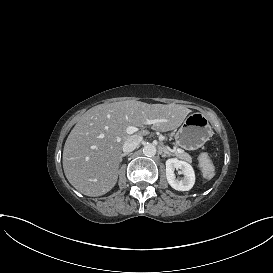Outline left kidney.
I'll return each instance as SVG.
<instances>
[{
	"mask_svg": "<svg viewBox=\"0 0 273 273\" xmlns=\"http://www.w3.org/2000/svg\"><path fill=\"white\" fill-rule=\"evenodd\" d=\"M177 169L184 175L183 179H177L174 170ZM166 177L170 186L178 191H189L196 182V174L193 166L183 160L176 158L169 159L166 162Z\"/></svg>",
	"mask_w": 273,
	"mask_h": 273,
	"instance_id": "1",
	"label": "left kidney"
}]
</instances>
